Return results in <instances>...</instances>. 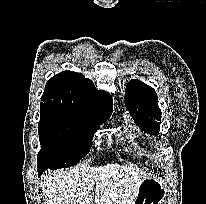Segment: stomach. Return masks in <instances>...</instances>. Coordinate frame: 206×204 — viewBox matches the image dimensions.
I'll return each mask as SVG.
<instances>
[{
	"label": "stomach",
	"mask_w": 206,
	"mask_h": 204,
	"mask_svg": "<svg viewBox=\"0 0 206 204\" xmlns=\"http://www.w3.org/2000/svg\"><path fill=\"white\" fill-rule=\"evenodd\" d=\"M168 189L157 177L145 178L138 187L133 204H164Z\"/></svg>",
	"instance_id": "0dacf381"
}]
</instances>
